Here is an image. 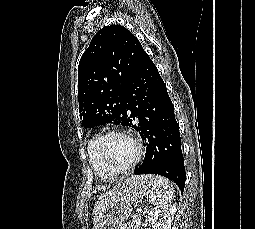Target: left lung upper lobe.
<instances>
[{"mask_svg":"<svg viewBox=\"0 0 255 229\" xmlns=\"http://www.w3.org/2000/svg\"><path fill=\"white\" fill-rule=\"evenodd\" d=\"M125 27L110 25L92 38L78 66V100L82 125L127 126L123 93L143 52Z\"/></svg>","mask_w":255,"mask_h":229,"instance_id":"1","label":"left lung upper lobe"}]
</instances>
